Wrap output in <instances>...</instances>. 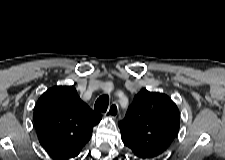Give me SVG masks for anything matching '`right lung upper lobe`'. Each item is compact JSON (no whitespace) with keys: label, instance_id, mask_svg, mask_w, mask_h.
<instances>
[{"label":"right lung upper lobe","instance_id":"1","mask_svg":"<svg viewBox=\"0 0 225 160\" xmlns=\"http://www.w3.org/2000/svg\"><path fill=\"white\" fill-rule=\"evenodd\" d=\"M34 125L41 146L57 160L76 158L102 116L81 101L73 86H55L37 101Z\"/></svg>","mask_w":225,"mask_h":160}]
</instances>
